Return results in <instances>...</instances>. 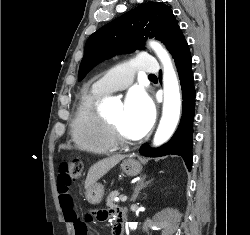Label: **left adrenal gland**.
Wrapping results in <instances>:
<instances>
[{
	"label": "left adrenal gland",
	"mask_w": 250,
	"mask_h": 235,
	"mask_svg": "<svg viewBox=\"0 0 250 235\" xmlns=\"http://www.w3.org/2000/svg\"><path fill=\"white\" fill-rule=\"evenodd\" d=\"M145 178H146V176H144V177L137 183V185H136V187H135V190H134V194H133V196H132V198H131V201H132V202H135V201H136V199L138 198V195H139L140 191H141L143 188H146V187L148 186V184L151 182V180L145 182Z\"/></svg>",
	"instance_id": "1"
}]
</instances>
